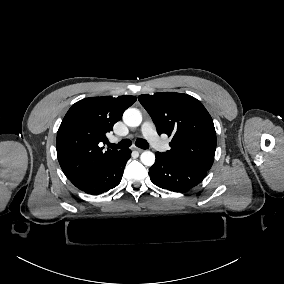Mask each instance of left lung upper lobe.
Returning <instances> with one entry per match:
<instances>
[{
	"label": "left lung upper lobe",
	"mask_w": 284,
	"mask_h": 284,
	"mask_svg": "<svg viewBox=\"0 0 284 284\" xmlns=\"http://www.w3.org/2000/svg\"><path fill=\"white\" fill-rule=\"evenodd\" d=\"M152 117L159 134L172 136L169 160L208 171L216 150L213 120L196 98L181 93L158 92L138 97Z\"/></svg>",
	"instance_id": "obj_1"
}]
</instances>
